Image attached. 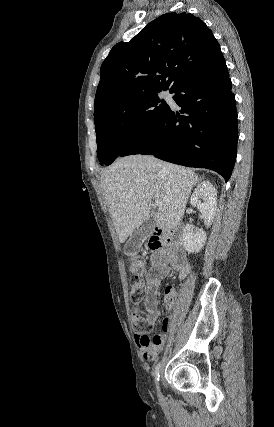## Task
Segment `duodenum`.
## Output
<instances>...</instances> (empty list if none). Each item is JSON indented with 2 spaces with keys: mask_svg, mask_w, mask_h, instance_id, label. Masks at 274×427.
Wrapping results in <instances>:
<instances>
[{
  "mask_svg": "<svg viewBox=\"0 0 274 427\" xmlns=\"http://www.w3.org/2000/svg\"><path fill=\"white\" fill-rule=\"evenodd\" d=\"M168 238L169 236L163 228L155 227L151 240L154 247L159 249L166 245Z\"/></svg>",
  "mask_w": 274,
  "mask_h": 427,
  "instance_id": "1",
  "label": "duodenum"
}]
</instances>
